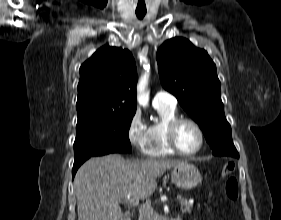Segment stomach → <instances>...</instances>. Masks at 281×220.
Returning a JSON list of instances; mask_svg holds the SVG:
<instances>
[{
  "label": "stomach",
  "instance_id": "obj_1",
  "mask_svg": "<svg viewBox=\"0 0 281 220\" xmlns=\"http://www.w3.org/2000/svg\"><path fill=\"white\" fill-rule=\"evenodd\" d=\"M172 182L182 189H192L201 181V175L196 166L184 162L177 165L171 172Z\"/></svg>",
  "mask_w": 281,
  "mask_h": 220
}]
</instances>
